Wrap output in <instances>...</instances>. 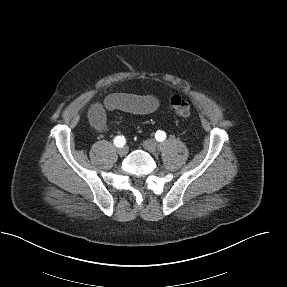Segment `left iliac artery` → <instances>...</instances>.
Here are the masks:
<instances>
[{"label": "left iliac artery", "instance_id": "44dca946", "mask_svg": "<svg viewBox=\"0 0 287 287\" xmlns=\"http://www.w3.org/2000/svg\"><path fill=\"white\" fill-rule=\"evenodd\" d=\"M155 138L157 141H164L166 139V133L162 130H158L155 134Z\"/></svg>", "mask_w": 287, "mask_h": 287}]
</instances>
